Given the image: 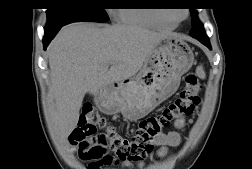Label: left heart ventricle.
Returning <instances> with one entry per match:
<instances>
[{"instance_id": "1", "label": "left heart ventricle", "mask_w": 252, "mask_h": 169, "mask_svg": "<svg viewBox=\"0 0 252 169\" xmlns=\"http://www.w3.org/2000/svg\"><path fill=\"white\" fill-rule=\"evenodd\" d=\"M173 14L177 18H182V17H184L185 12H184V10H177V11H174Z\"/></svg>"}]
</instances>
